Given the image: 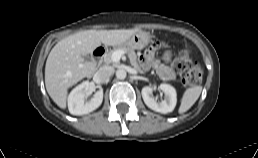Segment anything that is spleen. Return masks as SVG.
Wrapping results in <instances>:
<instances>
[{
    "label": "spleen",
    "instance_id": "1",
    "mask_svg": "<svg viewBox=\"0 0 258 158\" xmlns=\"http://www.w3.org/2000/svg\"><path fill=\"white\" fill-rule=\"evenodd\" d=\"M202 91V86H193L188 89L183 94L181 105L179 107L178 112L184 113L188 111L194 103L198 100Z\"/></svg>",
    "mask_w": 258,
    "mask_h": 158
}]
</instances>
